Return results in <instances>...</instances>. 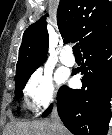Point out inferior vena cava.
Returning a JSON list of instances; mask_svg holds the SVG:
<instances>
[{
  "label": "inferior vena cava",
  "mask_w": 112,
  "mask_h": 135,
  "mask_svg": "<svg viewBox=\"0 0 112 135\" xmlns=\"http://www.w3.org/2000/svg\"><path fill=\"white\" fill-rule=\"evenodd\" d=\"M51 124L53 128L55 129V132H56L55 135H60L59 132L62 129V124H61L56 107L53 109L52 114H51Z\"/></svg>",
  "instance_id": "obj_1"
}]
</instances>
